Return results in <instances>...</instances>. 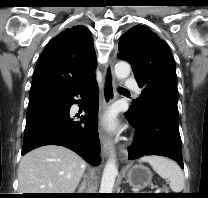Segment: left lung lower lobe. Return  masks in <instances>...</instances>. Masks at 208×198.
I'll use <instances>...</instances> for the list:
<instances>
[{
	"label": "left lung lower lobe",
	"instance_id": "obj_1",
	"mask_svg": "<svg viewBox=\"0 0 208 198\" xmlns=\"http://www.w3.org/2000/svg\"><path fill=\"white\" fill-rule=\"evenodd\" d=\"M125 116L136 130L133 144L128 148L130 160L159 155L175 160L184 168L177 116L157 104L135 115L127 112Z\"/></svg>",
	"mask_w": 208,
	"mask_h": 198
}]
</instances>
